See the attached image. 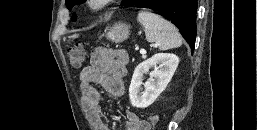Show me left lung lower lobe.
<instances>
[{"label": "left lung lower lobe", "instance_id": "left-lung-lower-lobe-1", "mask_svg": "<svg viewBox=\"0 0 257 130\" xmlns=\"http://www.w3.org/2000/svg\"><path fill=\"white\" fill-rule=\"evenodd\" d=\"M135 6L153 9L171 21L191 48H194L197 0H138Z\"/></svg>", "mask_w": 257, "mask_h": 130}]
</instances>
